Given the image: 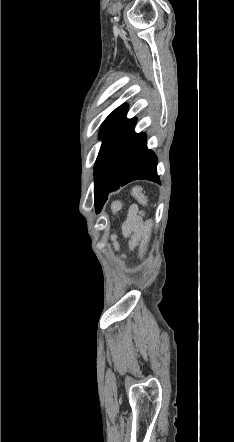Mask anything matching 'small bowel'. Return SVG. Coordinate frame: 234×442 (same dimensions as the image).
Masks as SVG:
<instances>
[{
    "label": "small bowel",
    "instance_id": "1",
    "mask_svg": "<svg viewBox=\"0 0 234 442\" xmlns=\"http://www.w3.org/2000/svg\"><path fill=\"white\" fill-rule=\"evenodd\" d=\"M121 208L119 203L115 204L113 207L114 212L118 211ZM142 226V220L140 211L137 205H131L129 207L126 220L122 225V231L125 236L132 237V245H135V242L138 238Z\"/></svg>",
    "mask_w": 234,
    "mask_h": 442
}]
</instances>
